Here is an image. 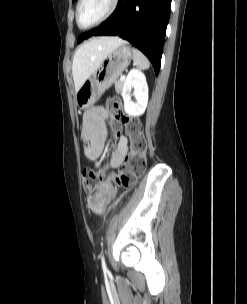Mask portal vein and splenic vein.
<instances>
[{
	"mask_svg": "<svg viewBox=\"0 0 247 304\" xmlns=\"http://www.w3.org/2000/svg\"><path fill=\"white\" fill-rule=\"evenodd\" d=\"M124 79H125V76H124V75L120 77V80H121V81H123Z\"/></svg>",
	"mask_w": 247,
	"mask_h": 304,
	"instance_id": "1",
	"label": "portal vein and splenic vein"
}]
</instances>
